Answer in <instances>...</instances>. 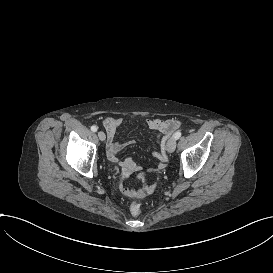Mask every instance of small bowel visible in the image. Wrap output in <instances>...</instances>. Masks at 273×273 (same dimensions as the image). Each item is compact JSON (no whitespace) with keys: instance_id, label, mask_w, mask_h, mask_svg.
Wrapping results in <instances>:
<instances>
[{"instance_id":"small-bowel-1","label":"small bowel","mask_w":273,"mask_h":273,"mask_svg":"<svg viewBox=\"0 0 273 273\" xmlns=\"http://www.w3.org/2000/svg\"><path fill=\"white\" fill-rule=\"evenodd\" d=\"M121 124L122 119L115 116L107 117L103 121V126L107 135V157L111 162H117L119 160V154L126 148L125 143H119L116 139L117 131ZM147 125L149 129L156 133V142L158 145H160L165 135L173 132L178 127V121L174 119L164 120L160 118H154L148 120ZM154 156L158 159V170L160 172L166 170L168 167L167 159L165 158L166 150L164 148H161L159 152H154ZM129 168L131 169V173L140 171V167L135 163L132 158L125 157L122 161V178L124 180H127L130 176V171L128 170ZM148 176L149 173L147 171H144L142 173V175L140 176V179L142 180L140 182V187L144 191H147L149 189L151 192H154L161 185L162 177L160 175H157L155 177V182L149 187L147 185V182L145 181ZM118 187L119 192L128 199H131L135 195V192L133 190L127 189L123 182H120L118 184Z\"/></svg>"}]
</instances>
